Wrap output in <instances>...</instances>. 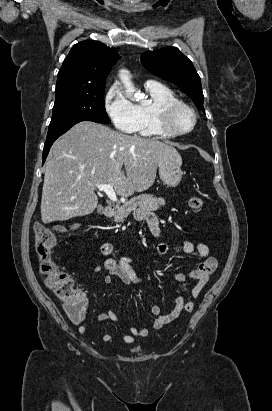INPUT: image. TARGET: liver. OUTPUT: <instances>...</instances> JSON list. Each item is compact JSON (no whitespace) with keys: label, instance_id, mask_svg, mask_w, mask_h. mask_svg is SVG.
I'll return each mask as SVG.
<instances>
[{"label":"liver","instance_id":"1","mask_svg":"<svg viewBox=\"0 0 272 411\" xmlns=\"http://www.w3.org/2000/svg\"><path fill=\"white\" fill-rule=\"evenodd\" d=\"M168 159L182 164L178 151L164 142L126 135L94 122L77 123L50 150L42 189V222L91 214L98 205L96 184L111 183L123 197L143 192L155 182L158 164Z\"/></svg>","mask_w":272,"mask_h":411}]
</instances>
